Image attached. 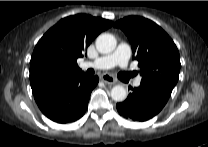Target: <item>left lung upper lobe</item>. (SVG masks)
Segmentation results:
<instances>
[{"label": "left lung upper lobe", "mask_w": 208, "mask_h": 147, "mask_svg": "<svg viewBox=\"0 0 208 147\" xmlns=\"http://www.w3.org/2000/svg\"><path fill=\"white\" fill-rule=\"evenodd\" d=\"M127 35L133 58L138 60L142 84L172 92L180 72V56L169 35L153 21L128 16L114 24Z\"/></svg>", "instance_id": "left-lung-upper-lobe-1"}]
</instances>
